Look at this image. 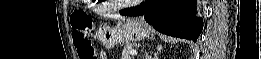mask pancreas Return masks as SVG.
Here are the masks:
<instances>
[{"mask_svg":"<svg viewBox=\"0 0 261 59\" xmlns=\"http://www.w3.org/2000/svg\"><path fill=\"white\" fill-rule=\"evenodd\" d=\"M132 44H127L122 52L121 59H132L130 51L133 50Z\"/></svg>","mask_w":261,"mask_h":59,"instance_id":"1","label":"pancreas"}]
</instances>
